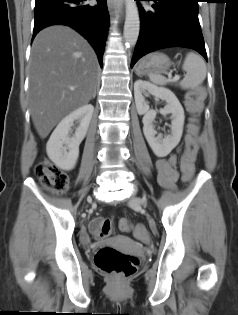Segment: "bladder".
<instances>
[{
	"mask_svg": "<svg viewBox=\"0 0 238 315\" xmlns=\"http://www.w3.org/2000/svg\"><path fill=\"white\" fill-rule=\"evenodd\" d=\"M119 249H131V248H119Z\"/></svg>",
	"mask_w": 238,
	"mask_h": 315,
	"instance_id": "obj_1",
	"label": "bladder"
}]
</instances>
